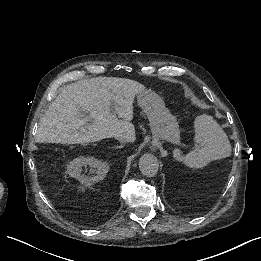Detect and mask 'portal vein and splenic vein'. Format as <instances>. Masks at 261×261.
Instances as JSON below:
<instances>
[{
  "label": "portal vein and splenic vein",
  "mask_w": 261,
  "mask_h": 261,
  "mask_svg": "<svg viewBox=\"0 0 261 261\" xmlns=\"http://www.w3.org/2000/svg\"><path fill=\"white\" fill-rule=\"evenodd\" d=\"M88 125H89V123H86V124L83 126V129L87 128Z\"/></svg>",
  "instance_id": "portal-vein-and-splenic-vein-1"
}]
</instances>
